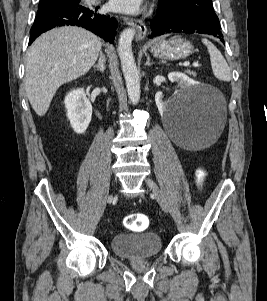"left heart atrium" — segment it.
Wrapping results in <instances>:
<instances>
[{
	"mask_svg": "<svg viewBox=\"0 0 267 301\" xmlns=\"http://www.w3.org/2000/svg\"><path fill=\"white\" fill-rule=\"evenodd\" d=\"M142 0H111L110 5L114 10L135 13L139 10Z\"/></svg>",
	"mask_w": 267,
	"mask_h": 301,
	"instance_id": "39dd6f15",
	"label": "left heart atrium"
}]
</instances>
